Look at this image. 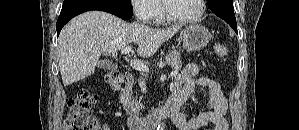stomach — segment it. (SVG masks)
Wrapping results in <instances>:
<instances>
[{
  "instance_id": "1",
  "label": "stomach",
  "mask_w": 299,
  "mask_h": 130,
  "mask_svg": "<svg viewBox=\"0 0 299 130\" xmlns=\"http://www.w3.org/2000/svg\"><path fill=\"white\" fill-rule=\"evenodd\" d=\"M183 48L186 51H199L211 40L209 30L200 24H190L180 33Z\"/></svg>"
}]
</instances>
